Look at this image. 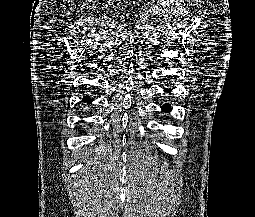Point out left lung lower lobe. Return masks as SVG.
Listing matches in <instances>:
<instances>
[{
	"label": "left lung lower lobe",
	"mask_w": 255,
	"mask_h": 217,
	"mask_svg": "<svg viewBox=\"0 0 255 217\" xmlns=\"http://www.w3.org/2000/svg\"><path fill=\"white\" fill-rule=\"evenodd\" d=\"M167 92H170V89H165ZM163 111L168 112L171 111V107L169 104H165L164 106L161 107Z\"/></svg>",
	"instance_id": "0a47b994"
}]
</instances>
